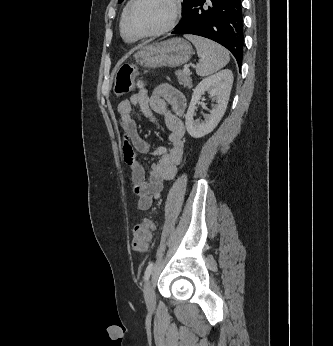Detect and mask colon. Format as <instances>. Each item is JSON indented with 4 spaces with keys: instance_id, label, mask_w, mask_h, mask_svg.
Returning a JSON list of instances; mask_svg holds the SVG:
<instances>
[{
    "instance_id": "5ec220e1",
    "label": "colon",
    "mask_w": 333,
    "mask_h": 346,
    "mask_svg": "<svg viewBox=\"0 0 333 346\" xmlns=\"http://www.w3.org/2000/svg\"><path fill=\"white\" fill-rule=\"evenodd\" d=\"M136 77V67L132 64L122 65L116 74L115 94L119 97L130 93ZM155 225L153 221L145 219L133 229L132 248L135 251L143 252L148 248L152 231Z\"/></svg>"
}]
</instances>
